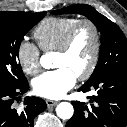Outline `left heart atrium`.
Instances as JSON below:
<instances>
[{"mask_svg": "<svg viewBox=\"0 0 127 127\" xmlns=\"http://www.w3.org/2000/svg\"><path fill=\"white\" fill-rule=\"evenodd\" d=\"M77 76L68 68L60 67L36 77L33 82L34 92L48 99L62 98L76 83Z\"/></svg>", "mask_w": 127, "mask_h": 127, "instance_id": "39dd6f15", "label": "left heart atrium"}]
</instances>
